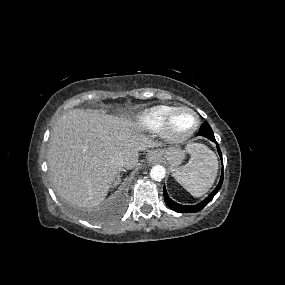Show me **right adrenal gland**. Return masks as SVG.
<instances>
[{
    "label": "right adrenal gland",
    "instance_id": "2a0ac1e0",
    "mask_svg": "<svg viewBox=\"0 0 285 285\" xmlns=\"http://www.w3.org/2000/svg\"><path fill=\"white\" fill-rule=\"evenodd\" d=\"M121 181V175H120V171L117 173V177L116 180L114 181L112 188L116 187Z\"/></svg>",
    "mask_w": 285,
    "mask_h": 285
}]
</instances>
